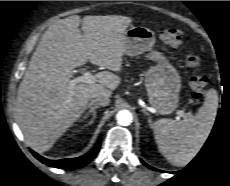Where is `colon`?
Listing matches in <instances>:
<instances>
[{"label":"colon","mask_w":230,"mask_h":186,"mask_svg":"<svg viewBox=\"0 0 230 186\" xmlns=\"http://www.w3.org/2000/svg\"><path fill=\"white\" fill-rule=\"evenodd\" d=\"M160 38L164 43L177 47L182 42V33L178 29L168 28L161 31ZM186 62L194 70V75L190 80L192 97L196 100H199L204 95L208 80L205 73V62L200 58L199 55L193 52L187 53Z\"/></svg>","instance_id":"colon-1"}]
</instances>
